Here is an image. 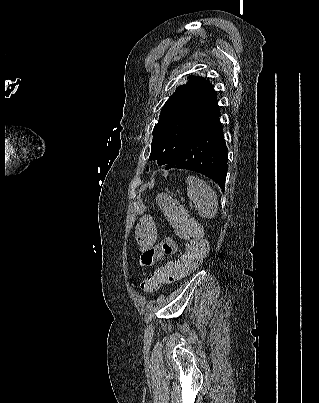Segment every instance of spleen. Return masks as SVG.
Returning <instances> with one entry per match:
<instances>
[{
    "instance_id": "1",
    "label": "spleen",
    "mask_w": 319,
    "mask_h": 403,
    "mask_svg": "<svg viewBox=\"0 0 319 403\" xmlns=\"http://www.w3.org/2000/svg\"><path fill=\"white\" fill-rule=\"evenodd\" d=\"M187 196L195 204L198 215L211 219L218 211V197L210 185L201 178L189 175L186 180Z\"/></svg>"
}]
</instances>
